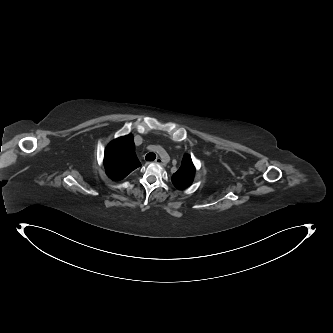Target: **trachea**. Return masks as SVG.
<instances>
[{
    "label": "trachea",
    "mask_w": 333,
    "mask_h": 333,
    "mask_svg": "<svg viewBox=\"0 0 333 333\" xmlns=\"http://www.w3.org/2000/svg\"><path fill=\"white\" fill-rule=\"evenodd\" d=\"M145 159L146 161H154L156 159V155L155 153H148L146 156H145Z\"/></svg>",
    "instance_id": "trachea-1"
}]
</instances>
